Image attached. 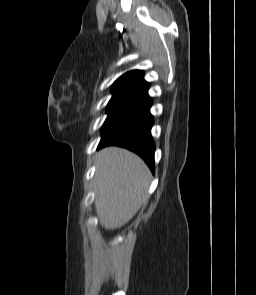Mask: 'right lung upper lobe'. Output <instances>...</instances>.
<instances>
[{"label": "right lung upper lobe", "mask_w": 256, "mask_h": 295, "mask_svg": "<svg viewBox=\"0 0 256 295\" xmlns=\"http://www.w3.org/2000/svg\"><path fill=\"white\" fill-rule=\"evenodd\" d=\"M149 84L143 79V71L132 70L119 77L112 85L111 101L132 100L147 92Z\"/></svg>", "instance_id": "right-lung-upper-lobe-1"}]
</instances>
